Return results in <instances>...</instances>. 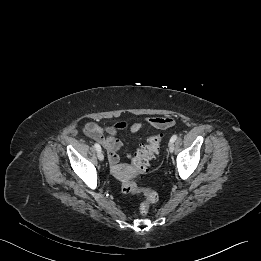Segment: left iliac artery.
<instances>
[{
	"label": "left iliac artery",
	"mask_w": 261,
	"mask_h": 261,
	"mask_svg": "<svg viewBox=\"0 0 261 261\" xmlns=\"http://www.w3.org/2000/svg\"><path fill=\"white\" fill-rule=\"evenodd\" d=\"M176 139H177V135H173V136L171 137V139H170V143L175 142Z\"/></svg>",
	"instance_id": "left-iliac-artery-1"
}]
</instances>
